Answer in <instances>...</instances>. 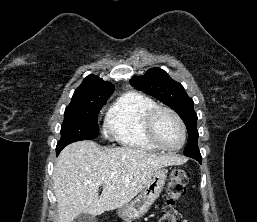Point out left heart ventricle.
Segmentation results:
<instances>
[{"mask_svg":"<svg viewBox=\"0 0 257 222\" xmlns=\"http://www.w3.org/2000/svg\"><path fill=\"white\" fill-rule=\"evenodd\" d=\"M154 129L159 141L166 147L174 148L181 143V129L169 113L162 112L157 116Z\"/></svg>","mask_w":257,"mask_h":222,"instance_id":"1","label":"left heart ventricle"}]
</instances>
